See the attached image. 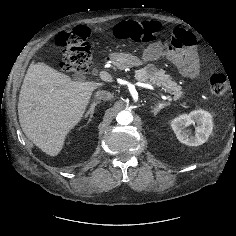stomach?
I'll return each instance as SVG.
<instances>
[{"mask_svg":"<svg viewBox=\"0 0 236 236\" xmlns=\"http://www.w3.org/2000/svg\"><path fill=\"white\" fill-rule=\"evenodd\" d=\"M112 63L123 70L131 67L141 66L144 61L130 53L115 52L110 55Z\"/></svg>","mask_w":236,"mask_h":236,"instance_id":"0dacf381","label":"stomach"}]
</instances>
